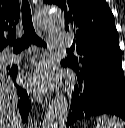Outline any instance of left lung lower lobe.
Masks as SVG:
<instances>
[{
	"mask_svg": "<svg viewBox=\"0 0 125 128\" xmlns=\"http://www.w3.org/2000/svg\"><path fill=\"white\" fill-rule=\"evenodd\" d=\"M63 67H68L61 61ZM78 83L74 87L67 126L100 114H113L125 120L124 72L107 71L92 79H85L75 71Z\"/></svg>",
	"mask_w": 125,
	"mask_h": 128,
	"instance_id": "obj_1",
	"label": "left lung lower lobe"
}]
</instances>
